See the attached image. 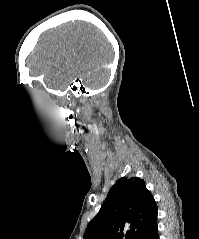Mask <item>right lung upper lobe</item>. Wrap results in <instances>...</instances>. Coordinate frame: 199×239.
<instances>
[{
	"label": "right lung upper lobe",
	"mask_w": 199,
	"mask_h": 239,
	"mask_svg": "<svg viewBox=\"0 0 199 239\" xmlns=\"http://www.w3.org/2000/svg\"><path fill=\"white\" fill-rule=\"evenodd\" d=\"M157 218V205L139 178H120L83 239H136Z\"/></svg>",
	"instance_id": "obj_1"
}]
</instances>
